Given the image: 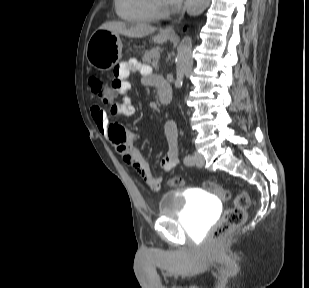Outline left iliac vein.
Here are the masks:
<instances>
[{"label": "left iliac vein", "instance_id": "left-iliac-vein-1", "mask_svg": "<svg viewBox=\"0 0 309 288\" xmlns=\"http://www.w3.org/2000/svg\"><path fill=\"white\" fill-rule=\"evenodd\" d=\"M193 157H194V163L196 166L202 167L204 165V158L201 153L194 152Z\"/></svg>", "mask_w": 309, "mask_h": 288}]
</instances>
